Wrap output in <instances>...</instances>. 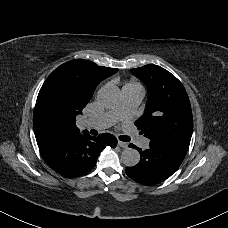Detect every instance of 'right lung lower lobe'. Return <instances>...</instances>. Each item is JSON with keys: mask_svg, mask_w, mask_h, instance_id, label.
Returning <instances> with one entry per match:
<instances>
[{"mask_svg": "<svg viewBox=\"0 0 228 228\" xmlns=\"http://www.w3.org/2000/svg\"><path fill=\"white\" fill-rule=\"evenodd\" d=\"M117 139L109 133L98 137L87 132L61 137L39 147L44 161L57 173L68 178L87 174L96 165L99 153L116 147Z\"/></svg>", "mask_w": 228, "mask_h": 228, "instance_id": "98d812e1", "label": "right lung lower lobe"}]
</instances>
